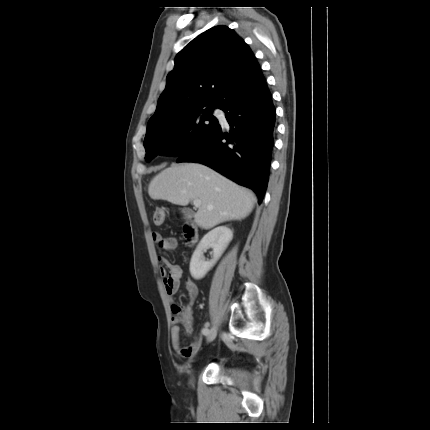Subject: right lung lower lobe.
I'll return each mask as SVG.
<instances>
[{"mask_svg":"<svg viewBox=\"0 0 430 430\" xmlns=\"http://www.w3.org/2000/svg\"><path fill=\"white\" fill-rule=\"evenodd\" d=\"M218 108L226 113L230 129L219 125L196 150L177 162H198L213 168L251 188L260 204L269 179L276 127V109L265 78L236 90Z\"/></svg>","mask_w":430,"mask_h":430,"instance_id":"right-lung-lower-lobe-1","label":"right lung lower lobe"}]
</instances>
